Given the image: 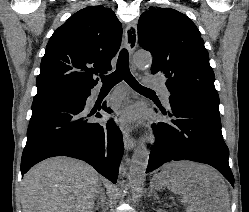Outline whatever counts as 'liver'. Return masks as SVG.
<instances>
[{
	"mask_svg": "<svg viewBox=\"0 0 249 212\" xmlns=\"http://www.w3.org/2000/svg\"><path fill=\"white\" fill-rule=\"evenodd\" d=\"M158 192L180 194L186 212H230L223 176L197 162H172L153 176ZM99 174L89 164L65 156L36 164L22 180L23 212H93Z\"/></svg>",
	"mask_w": 249,
	"mask_h": 212,
	"instance_id": "liver-1",
	"label": "liver"
}]
</instances>
